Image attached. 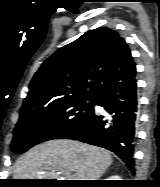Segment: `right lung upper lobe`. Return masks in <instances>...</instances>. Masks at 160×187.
<instances>
[{"label": "right lung upper lobe", "mask_w": 160, "mask_h": 187, "mask_svg": "<svg viewBox=\"0 0 160 187\" xmlns=\"http://www.w3.org/2000/svg\"><path fill=\"white\" fill-rule=\"evenodd\" d=\"M117 32L99 27L60 48L34 75L21 112L77 98H95L133 64Z\"/></svg>", "instance_id": "1"}]
</instances>
